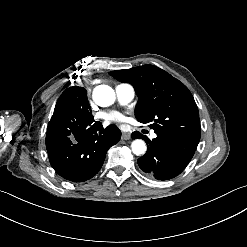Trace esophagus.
<instances>
[{
  "instance_id": "34e87169",
  "label": "esophagus",
  "mask_w": 247,
  "mask_h": 247,
  "mask_svg": "<svg viewBox=\"0 0 247 247\" xmlns=\"http://www.w3.org/2000/svg\"><path fill=\"white\" fill-rule=\"evenodd\" d=\"M130 136H131V134L129 132H123L122 133V139L123 140H129Z\"/></svg>"
}]
</instances>
